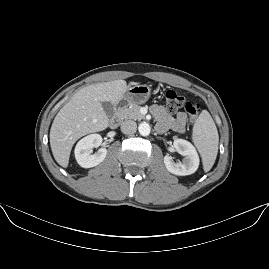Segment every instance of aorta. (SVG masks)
Segmentation results:
<instances>
[{"label":"aorta","instance_id":"1","mask_svg":"<svg viewBox=\"0 0 269 269\" xmlns=\"http://www.w3.org/2000/svg\"><path fill=\"white\" fill-rule=\"evenodd\" d=\"M138 129H139V133L142 136H148L150 134V131H151L149 124L146 122L141 123L139 125Z\"/></svg>","mask_w":269,"mask_h":269}]
</instances>
